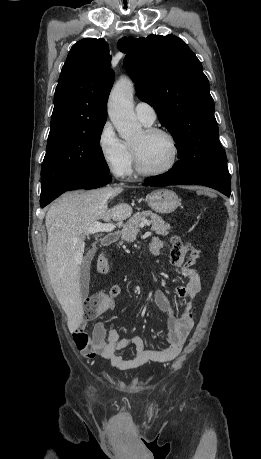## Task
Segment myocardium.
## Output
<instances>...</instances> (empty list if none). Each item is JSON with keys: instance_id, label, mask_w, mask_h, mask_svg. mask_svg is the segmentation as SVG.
I'll return each mask as SVG.
<instances>
[{"instance_id": "obj_1", "label": "myocardium", "mask_w": 261, "mask_h": 459, "mask_svg": "<svg viewBox=\"0 0 261 459\" xmlns=\"http://www.w3.org/2000/svg\"><path fill=\"white\" fill-rule=\"evenodd\" d=\"M143 131L146 135L161 134L166 136L172 146V156L170 162L164 168L157 170L147 169L142 165L137 149L134 145H131V152L136 171L143 176H159L168 173L176 165L179 156V147L175 136L167 129L161 127H146Z\"/></svg>"}]
</instances>
